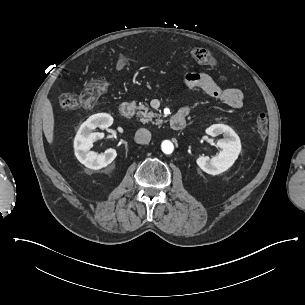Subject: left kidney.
I'll return each instance as SVG.
<instances>
[{
    "label": "left kidney",
    "instance_id": "obj_1",
    "mask_svg": "<svg viewBox=\"0 0 305 305\" xmlns=\"http://www.w3.org/2000/svg\"><path fill=\"white\" fill-rule=\"evenodd\" d=\"M207 134L211 137L222 135V138L216 140V145L221 149L217 156L210 160L205 155H199L196 164L205 173L210 175H219L227 171L235 162L241 152V143L235 131L226 125L216 124L207 128Z\"/></svg>",
    "mask_w": 305,
    "mask_h": 305
}]
</instances>
